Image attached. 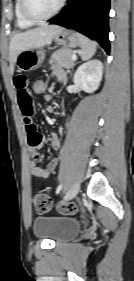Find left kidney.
Instances as JSON below:
<instances>
[{"label":"left kidney","instance_id":"left-kidney-1","mask_svg":"<svg viewBox=\"0 0 134 281\" xmlns=\"http://www.w3.org/2000/svg\"><path fill=\"white\" fill-rule=\"evenodd\" d=\"M103 64L99 60H92L83 63L76 70L74 83L87 93H92L98 89L102 80Z\"/></svg>","mask_w":134,"mask_h":281}]
</instances>
